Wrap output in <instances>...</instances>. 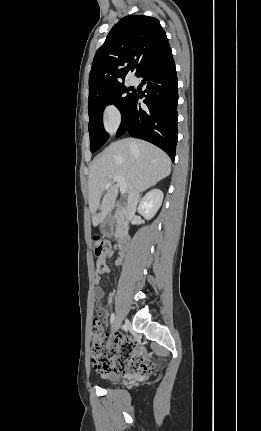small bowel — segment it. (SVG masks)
Segmentation results:
<instances>
[{"label":"small bowel","mask_w":261,"mask_h":431,"mask_svg":"<svg viewBox=\"0 0 261 431\" xmlns=\"http://www.w3.org/2000/svg\"><path fill=\"white\" fill-rule=\"evenodd\" d=\"M111 256H112V252L110 251L106 255V258H110ZM122 262H123V257L121 256L117 257L115 260L116 265H120ZM108 273H110V269L106 265V260L105 259L100 260L97 264L96 277H95V284H96L95 297L96 298L94 299V302L97 305H100L103 302V297L105 295L104 290L99 286L101 282V276ZM112 300H113V295L109 294L108 302L110 303ZM98 315L100 318H108L109 312L106 310V308H101V311L99 312Z\"/></svg>","instance_id":"c3829d8e"}]
</instances>
